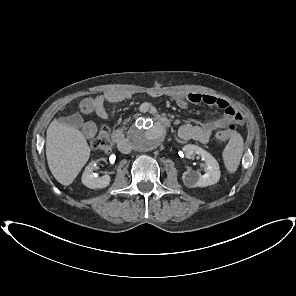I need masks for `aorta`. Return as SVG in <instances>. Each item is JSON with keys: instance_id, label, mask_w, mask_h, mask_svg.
Returning <instances> with one entry per match:
<instances>
[{"instance_id": "aorta-1", "label": "aorta", "mask_w": 296, "mask_h": 296, "mask_svg": "<svg viewBox=\"0 0 296 296\" xmlns=\"http://www.w3.org/2000/svg\"><path fill=\"white\" fill-rule=\"evenodd\" d=\"M128 137L132 147L141 152L157 148L166 137V129L149 117H140L130 128Z\"/></svg>"}]
</instances>
